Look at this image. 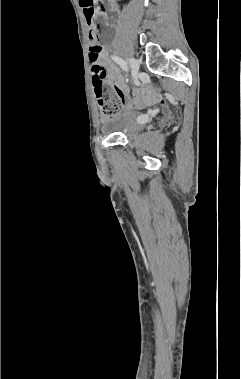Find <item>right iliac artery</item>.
Here are the masks:
<instances>
[{"label": "right iliac artery", "instance_id": "obj_1", "mask_svg": "<svg viewBox=\"0 0 241 379\" xmlns=\"http://www.w3.org/2000/svg\"><path fill=\"white\" fill-rule=\"evenodd\" d=\"M112 60H114L117 64L120 65V67L125 70L126 72L129 71L127 63L122 59L119 58L118 56H111Z\"/></svg>", "mask_w": 241, "mask_h": 379}]
</instances>
